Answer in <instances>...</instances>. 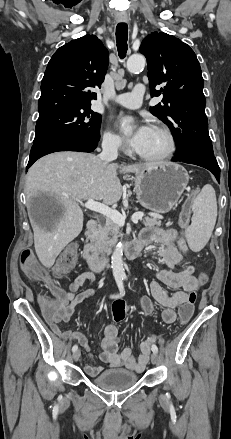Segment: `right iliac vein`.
I'll list each match as a JSON object with an SVG mask.
<instances>
[{
  "label": "right iliac vein",
  "instance_id": "1",
  "mask_svg": "<svg viewBox=\"0 0 231 439\" xmlns=\"http://www.w3.org/2000/svg\"><path fill=\"white\" fill-rule=\"evenodd\" d=\"M80 355H81L80 350H76V351L73 353V360H74V361H78L79 358H80Z\"/></svg>",
  "mask_w": 231,
  "mask_h": 439
}]
</instances>
